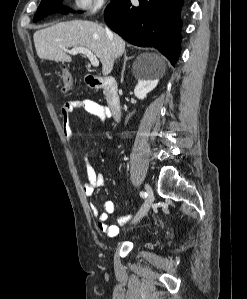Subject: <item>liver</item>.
I'll use <instances>...</instances> for the list:
<instances>
[{
  "mask_svg": "<svg viewBox=\"0 0 247 299\" xmlns=\"http://www.w3.org/2000/svg\"><path fill=\"white\" fill-rule=\"evenodd\" d=\"M37 55L42 60L71 62L65 52L70 47H85L94 52L102 63V74L111 73L114 59L125 51V41L117 34L109 36L100 24L86 20H73L57 23L38 30L33 36ZM158 69L157 75L163 76L166 64L163 57L155 53H146Z\"/></svg>",
  "mask_w": 247,
  "mask_h": 299,
  "instance_id": "liver-1",
  "label": "liver"
}]
</instances>
